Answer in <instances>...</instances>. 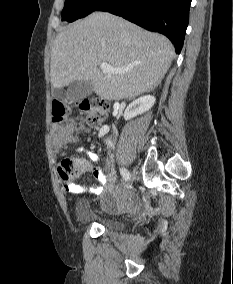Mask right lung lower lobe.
Wrapping results in <instances>:
<instances>
[{
	"instance_id": "1",
	"label": "right lung lower lobe",
	"mask_w": 233,
	"mask_h": 284,
	"mask_svg": "<svg viewBox=\"0 0 233 284\" xmlns=\"http://www.w3.org/2000/svg\"><path fill=\"white\" fill-rule=\"evenodd\" d=\"M191 0H107L95 11L121 16L147 30L164 34L180 53Z\"/></svg>"
}]
</instances>
